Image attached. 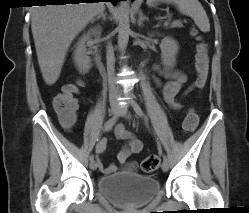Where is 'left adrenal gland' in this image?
<instances>
[{
    "mask_svg": "<svg viewBox=\"0 0 249 213\" xmlns=\"http://www.w3.org/2000/svg\"><path fill=\"white\" fill-rule=\"evenodd\" d=\"M138 15H139V18H138L137 23L139 26H142L143 21L148 20V17L144 16L141 10L138 12Z\"/></svg>",
    "mask_w": 249,
    "mask_h": 213,
    "instance_id": "a2214340",
    "label": "left adrenal gland"
}]
</instances>
